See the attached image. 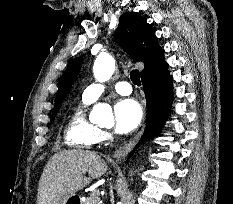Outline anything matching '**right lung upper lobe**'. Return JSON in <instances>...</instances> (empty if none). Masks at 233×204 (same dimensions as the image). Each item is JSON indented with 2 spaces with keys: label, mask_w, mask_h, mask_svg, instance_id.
Listing matches in <instances>:
<instances>
[{
  "label": "right lung upper lobe",
  "mask_w": 233,
  "mask_h": 204,
  "mask_svg": "<svg viewBox=\"0 0 233 204\" xmlns=\"http://www.w3.org/2000/svg\"><path fill=\"white\" fill-rule=\"evenodd\" d=\"M115 39L134 61H141L145 67L141 77L166 64L164 51L160 48L151 25L139 14L123 13L115 32ZM82 64V58L73 60L67 67L55 98L52 118L55 117Z\"/></svg>",
  "instance_id": "cb5924a9"
}]
</instances>
